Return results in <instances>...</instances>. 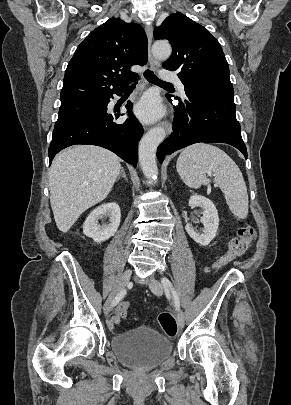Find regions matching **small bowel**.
Instances as JSON below:
<instances>
[{"mask_svg":"<svg viewBox=\"0 0 291 405\" xmlns=\"http://www.w3.org/2000/svg\"><path fill=\"white\" fill-rule=\"evenodd\" d=\"M118 325H119V322H115L111 318H109L108 326L110 329L114 330Z\"/></svg>","mask_w":291,"mask_h":405,"instance_id":"obj_1","label":"small bowel"}]
</instances>
